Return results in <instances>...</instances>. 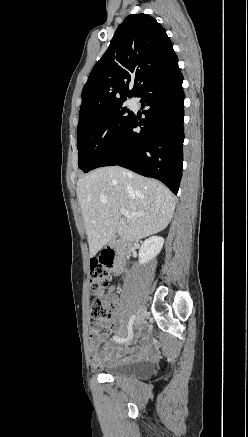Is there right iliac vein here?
<instances>
[{
	"label": "right iliac vein",
	"mask_w": 248,
	"mask_h": 437,
	"mask_svg": "<svg viewBox=\"0 0 248 437\" xmlns=\"http://www.w3.org/2000/svg\"><path fill=\"white\" fill-rule=\"evenodd\" d=\"M145 313H146L145 308L141 307L139 309L138 313H137V318H136V322H135L136 326H138V325H140L142 323V321H143V319L145 317Z\"/></svg>",
	"instance_id": "obj_1"
}]
</instances>
